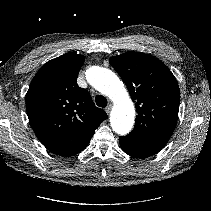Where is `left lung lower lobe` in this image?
Listing matches in <instances>:
<instances>
[{
    "label": "left lung lower lobe",
    "instance_id": "obj_1",
    "mask_svg": "<svg viewBox=\"0 0 211 211\" xmlns=\"http://www.w3.org/2000/svg\"><path fill=\"white\" fill-rule=\"evenodd\" d=\"M168 142L166 139H153L137 136H120L122 150L133 157L146 158L158 153Z\"/></svg>",
    "mask_w": 211,
    "mask_h": 211
}]
</instances>
